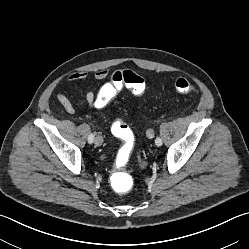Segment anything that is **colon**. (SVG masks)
I'll list each match as a JSON object with an SVG mask.
<instances>
[{
  "instance_id": "colon-1",
  "label": "colon",
  "mask_w": 249,
  "mask_h": 249,
  "mask_svg": "<svg viewBox=\"0 0 249 249\" xmlns=\"http://www.w3.org/2000/svg\"><path fill=\"white\" fill-rule=\"evenodd\" d=\"M110 82L116 91L126 87L136 96L143 94L146 89L145 80L131 70H119L114 72L111 75ZM172 86L174 90L180 94L191 93L196 89L194 83L185 78H178L174 81ZM112 98L109 97L106 100V103H108ZM112 132L114 136L122 139L124 142V146L119 151L118 156L123 163H126L133 150L134 134L131 128L124 122L115 123L112 127ZM128 179V175L123 172L116 171L112 179L113 190L119 194L126 193L129 190L127 184Z\"/></svg>"
}]
</instances>
